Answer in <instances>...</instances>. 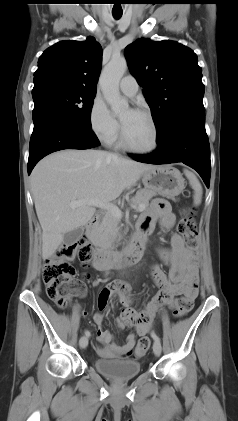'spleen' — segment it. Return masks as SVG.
I'll use <instances>...</instances> for the list:
<instances>
[{"instance_id":"spleen-1","label":"spleen","mask_w":238,"mask_h":421,"mask_svg":"<svg viewBox=\"0 0 238 421\" xmlns=\"http://www.w3.org/2000/svg\"><path fill=\"white\" fill-rule=\"evenodd\" d=\"M184 174L188 178L190 186L194 190V204L199 205L201 203L203 193L202 186L193 172L185 169Z\"/></svg>"}]
</instances>
